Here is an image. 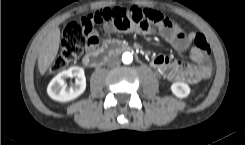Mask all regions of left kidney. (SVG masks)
I'll list each match as a JSON object with an SVG mask.
<instances>
[{
  "label": "left kidney",
  "mask_w": 245,
  "mask_h": 145,
  "mask_svg": "<svg viewBox=\"0 0 245 145\" xmlns=\"http://www.w3.org/2000/svg\"><path fill=\"white\" fill-rule=\"evenodd\" d=\"M172 93L178 98H185L190 94V87L183 82H176L171 85Z\"/></svg>",
  "instance_id": "left-kidney-1"
}]
</instances>
